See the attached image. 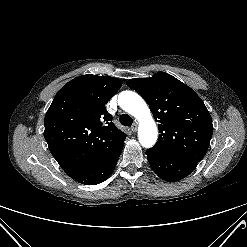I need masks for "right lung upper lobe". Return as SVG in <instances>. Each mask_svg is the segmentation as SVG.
I'll return each mask as SVG.
<instances>
[{
    "label": "right lung upper lobe",
    "instance_id": "cb5924a9",
    "mask_svg": "<svg viewBox=\"0 0 247 247\" xmlns=\"http://www.w3.org/2000/svg\"><path fill=\"white\" fill-rule=\"evenodd\" d=\"M114 77L87 74L56 94L44 120V137L61 168L75 179L124 144L126 134L113 123L105 104L120 89Z\"/></svg>",
    "mask_w": 247,
    "mask_h": 247
}]
</instances>
